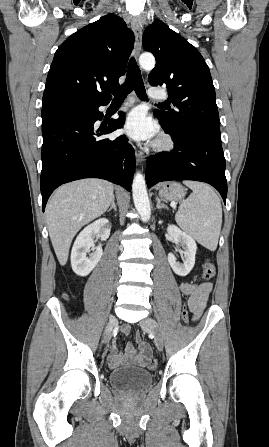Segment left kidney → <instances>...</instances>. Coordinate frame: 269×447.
<instances>
[{"instance_id": "1", "label": "left kidney", "mask_w": 269, "mask_h": 447, "mask_svg": "<svg viewBox=\"0 0 269 447\" xmlns=\"http://www.w3.org/2000/svg\"><path fill=\"white\" fill-rule=\"evenodd\" d=\"M167 231L171 237H173L175 243L183 245V249H178L180 253H184L183 263L177 261L174 253H168V261L177 275H188L189 271L193 269L195 265V255L197 249V243L193 237H190L185 231H181L177 225H168Z\"/></svg>"}]
</instances>
